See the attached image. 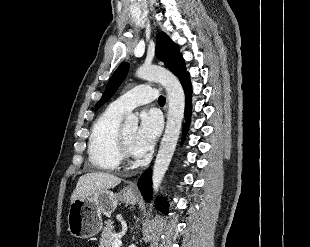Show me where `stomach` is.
I'll return each mask as SVG.
<instances>
[{"label":"stomach","mask_w":310,"mask_h":247,"mask_svg":"<svg viewBox=\"0 0 310 247\" xmlns=\"http://www.w3.org/2000/svg\"><path fill=\"white\" fill-rule=\"evenodd\" d=\"M137 200L138 196L130 188H124L117 194L108 189L99 190L90 197L76 199L68 209V230L74 237L91 238L102 229V215H111L118 201L135 204Z\"/></svg>","instance_id":"0dacf381"}]
</instances>
